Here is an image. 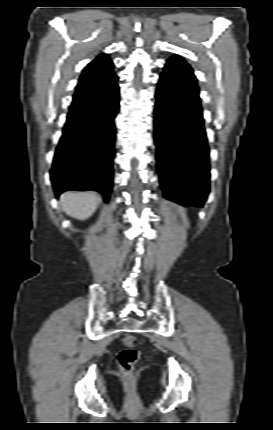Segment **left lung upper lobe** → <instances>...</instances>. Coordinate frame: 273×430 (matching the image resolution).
<instances>
[{
	"label": "left lung upper lobe",
	"instance_id": "left-lung-upper-lobe-1",
	"mask_svg": "<svg viewBox=\"0 0 273 430\" xmlns=\"http://www.w3.org/2000/svg\"><path fill=\"white\" fill-rule=\"evenodd\" d=\"M163 73L170 75L185 73L186 77L181 81V88L199 94V87L193 70L180 56L170 57L164 66Z\"/></svg>",
	"mask_w": 273,
	"mask_h": 430
}]
</instances>
